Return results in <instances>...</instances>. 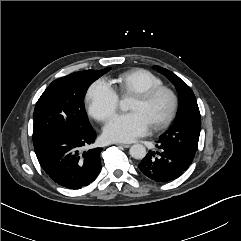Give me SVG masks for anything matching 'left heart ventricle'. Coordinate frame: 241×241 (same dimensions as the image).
I'll return each instance as SVG.
<instances>
[{
	"label": "left heart ventricle",
	"mask_w": 241,
	"mask_h": 241,
	"mask_svg": "<svg viewBox=\"0 0 241 241\" xmlns=\"http://www.w3.org/2000/svg\"><path fill=\"white\" fill-rule=\"evenodd\" d=\"M170 99L166 94H160L151 102H143L138 98H133L130 110L132 112L143 113L151 125L161 121L168 113Z\"/></svg>",
	"instance_id": "left-heart-ventricle-1"
}]
</instances>
